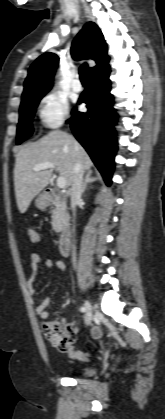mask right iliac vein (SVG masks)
I'll return each instance as SVG.
<instances>
[{
  "mask_svg": "<svg viewBox=\"0 0 165 419\" xmlns=\"http://www.w3.org/2000/svg\"><path fill=\"white\" fill-rule=\"evenodd\" d=\"M85 309H86L85 322L87 325H89L92 320V311H93V306L89 301H85Z\"/></svg>",
  "mask_w": 165,
  "mask_h": 419,
  "instance_id": "obj_1",
  "label": "right iliac vein"
}]
</instances>
